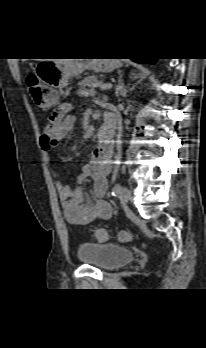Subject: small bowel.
Here are the masks:
<instances>
[{
  "mask_svg": "<svg viewBox=\"0 0 206 348\" xmlns=\"http://www.w3.org/2000/svg\"><path fill=\"white\" fill-rule=\"evenodd\" d=\"M71 106L63 104L56 110V120L49 119L45 133L40 138V147L45 153V160L50 164L49 152L55 149L60 140L75 125L76 118L70 114ZM112 150L97 147L91 160L83 166L82 175L74 186L56 183L65 219L73 225H86L95 220H106L112 215L111 205L103 198L108 187V175L111 170ZM91 179L95 199L86 198L83 182Z\"/></svg>",
  "mask_w": 206,
  "mask_h": 348,
  "instance_id": "small-bowel-1",
  "label": "small bowel"
}]
</instances>
